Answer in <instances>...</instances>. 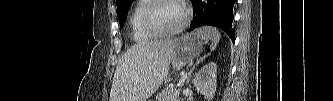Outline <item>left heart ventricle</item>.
Returning a JSON list of instances; mask_svg holds the SVG:
<instances>
[{"mask_svg":"<svg viewBox=\"0 0 333 101\" xmlns=\"http://www.w3.org/2000/svg\"><path fill=\"white\" fill-rule=\"evenodd\" d=\"M182 18V9L173 2L160 4L153 13L154 23L162 31L173 30L180 24Z\"/></svg>","mask_w":333,"mask_h":101,"instance_id":"left-heart-ventricle-1","label":"left heart ventricle"}]
</instances>
